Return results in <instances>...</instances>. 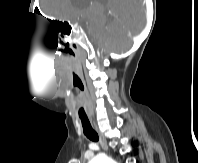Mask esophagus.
Segmentation results:
<instances>
[{
  "label": "esophagus",
  "instance_id": "esophagus-1",
  "mask_svg": "<svg viewBox=\"0 0 198 163\" xmlns=\"http://www.w3.org/2000/svg\"><path fill=\"white\" fill-rule=\"evenodd\" d=\"M92 125L94 126L95 130L97 131L98 135H99V139H100V145L101 147L107 151L108 150V145H107V141L105 139V137L103 136V134L99 131L97 124L95 122L94 119H91Z\"/></svg>",
  "mask_w": 198,
  "mask_h": 163
}]
</instances>
